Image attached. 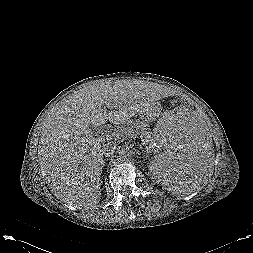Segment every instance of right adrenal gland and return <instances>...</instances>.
Returning <instances> with one entry per match:
<instances>
[{
  "instance_id": "1",
  "label": "right adrenal gland",
  "mask_w": 253,
  "mask_h": 253,
  "mask_svg": "<svg viewBox=\"0 0 253 253\" xmlns=\"http://www.w3.org/2000/svg\"><path fill=\"white\" fill-rule=\"evenodd\" d=\"M105 163H106V162L104 161V162H103V166L105 165Z\"/></svg>"
}]
</instances>
